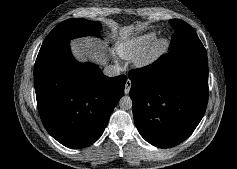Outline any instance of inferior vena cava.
<instances>
[{
  "mask_svg": "<svg viewBox=\"0 0 237 169\" xmlns=\"http://www.w3.org/2000/svg\"><path fill=\"white\" fill-rule=\"evenodd\" d=\"M103 73L108 77H116L120 75V70L117 66L110 64L104 67Z\"/></svg>",
  "mask_w": 237,
  "mask_h": 169,
  "instance_id": "602c4592",
  "label": "inferior vena cava"
}]
</instances>
